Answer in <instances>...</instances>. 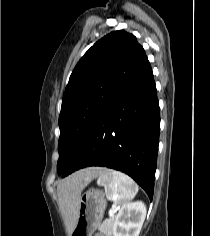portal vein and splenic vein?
Returning a JSON list of instances; mask_svg holds the SVG:
<instances>
[{
	"label": "portal vein and splenic vein",
	"instance_id": "1",
	"mask_svg": "<svg viewBox=\"0 0 210 236\" xmlns=\"http://www.w3.org/2000/svg\"><path fill=\"white\" fill-rule=\"evenodd\" d=\"M115 209L109 211V215L112 216L114 215Z\"/></svg>",
	"mask_w": 210,
	"mask_h": 236
}]
</instances>
